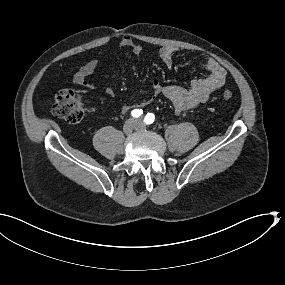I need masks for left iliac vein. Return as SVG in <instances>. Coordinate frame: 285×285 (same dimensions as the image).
<instances>
[{"mask_svg":"<svg viewBox=\"0 0 285 285\" xmlns=\"http://www.w3.org/2000/svg\"><path fill=\"white\" fill-rule=\"evenodd\" d=\"M135 122H136V123H138V124H140L141 120H140V119H138V120H136ZM137 129L139 130V129H140V127H137Z\"/></svg>","mask_w":285,"mask_h":285,"instance_id":"4c4485c4","label":"left iliac vein"}]
</instances>
